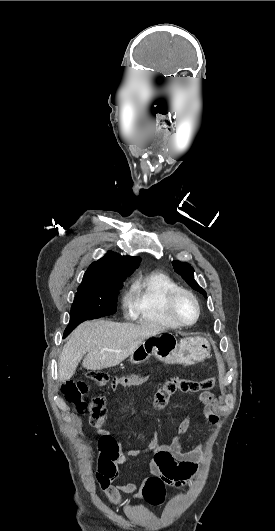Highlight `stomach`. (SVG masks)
<instances>
[{
	"instance_id": "obj_1",
	"label": "stomach",
	"mask_w": 275,
	"mask_h": 531,
	"mask_svg": "<svg viewBox=\"0 0 275 531\" xmlns=\"http://www.w3.org/2000/svg\"><path fill=\"white\" fill-rule=\"evenodd\" d=\"M210 351V343L205 337H187L178 343L172 333L163 331L144 339L131 353L129 361L140 365L150 357H156L166 365H197L209 357Z\"/></svg>"
}]
</instances>
